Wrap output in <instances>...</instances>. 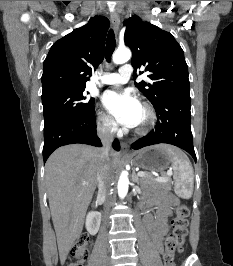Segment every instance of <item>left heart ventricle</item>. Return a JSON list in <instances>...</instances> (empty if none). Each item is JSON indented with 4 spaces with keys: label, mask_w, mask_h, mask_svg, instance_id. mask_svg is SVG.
Masks as SVG:
<instances>
[{
    "label": "left heart ventricle",
    "mask_w": 233,
    "mask_h": 266,
    "mask_svg": "<svg viewBox=\"0 0 233 266\" xmlns=\"http://www.w3.org/2000/svg\"><path fill=\"white\" fill-rule=\"evenodd\" d=\"M145 121H146V113H145L144 109L141 107L137 126L142 125Z\"/></svg>",
    "instance_id": "1"
}]
</instances>
